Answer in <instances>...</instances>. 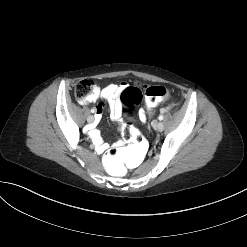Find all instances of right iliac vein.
Wrapping results in <instances>:
<instances>
[{
  "mask_svg": "<svg viewBox=\"0 0 247 247\" xmlns=\"http://www.w3.org/2000/svg\"><path fill=\"white\" fill-rule=\"evenodd\" d=\"M87 121H88L89 123H92V122L94 121V116H93V115H89V116L87 117Z\"/></svg>",
  "mask_w": 247,
  "mask_h": 247,
  "instance_id": "obj_1",
  "label": "right iliac vein"
}]
</instances>
